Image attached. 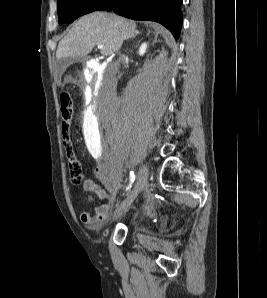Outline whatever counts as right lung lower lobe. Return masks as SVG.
Here are the masks:
<instances>
[{
  "label": "right lung lower lobe",
  "instance_id": "obj_1",
  "mask_svg": "<svg viewBox=\"0 0 267 298\" xmlns=\"http://www.w3.org/2000/svg\"><path fill=\"white\" fill-rule=\"evenodd\" d=\"M181 3L182 0H105L96 10H113L130 19L159 22L178 39L182 25Z\"/></svg>",
  "mask_w": 267,
  "mask_h": 298
}]
</instances>
